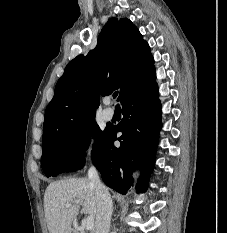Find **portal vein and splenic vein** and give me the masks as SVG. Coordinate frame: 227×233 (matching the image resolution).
I'll return each mask as SVG.
<instances>
[{"instance_id": "18ae733b", "label": "portal vein and splenic vein", "mask_w": 227, "mask_h": 233, "mask_svg": "<svg viewBox=\"0 0 227 233\" xmlns=\"http://www.w3.org/2000/svg\"><path fill=\"white\" fill-rule=\"evenodd\" d=\"M76 203H78V201H76ZM65 207L66 208L70 207V204H66ZM93 228H94V217L88 216L85 219V229L86 230H92Z\"/></svg>"}]
</instances>
